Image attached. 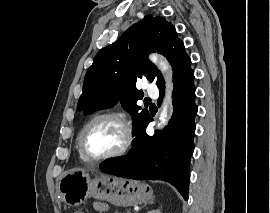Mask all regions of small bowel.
I'll return each instance as SVG.
<instances>
[{
	"mask_svg": "<svg viewBox=\"0 0 270 213\" xmlns=\"http://www.w3.org/2000/svg\"><path fill=\"white\" fill-rule=\"evenodd\" d=\"M97 213H107L108 208L103 203H96Z\"/></svg>",
	"mask_w": 270,
	"mask_h": 213,
	"instance_id": "c3829d8e",
	"label": "small bowel"
}]
</instances>
